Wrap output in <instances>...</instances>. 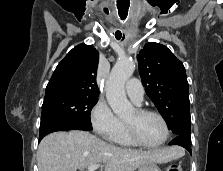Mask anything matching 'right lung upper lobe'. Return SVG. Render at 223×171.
Wrapping results in <instances>:
<instances>
[{
	"label": "right lung upper lobe",
	"instance_id": "obj_1",
	"mask_svg": "<svg viewBox=\"0 0 223 171\" xmlns=\"http://www.w3.org/2000/svg\"><path fill=\"white\" fill-rule=\"evenodd\" d=\"M98 62V51L92 45L82 43L74 47L56 67L45 98L63 94L98 96Z\"/></svg>",
	"mask_w": 223,
	"mask_h": 171
}]
</instances>
